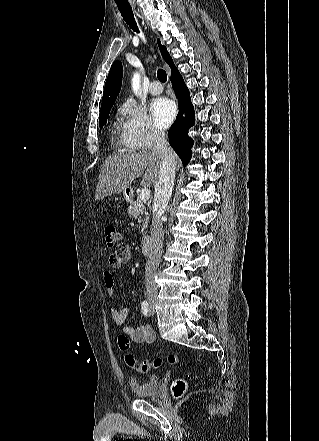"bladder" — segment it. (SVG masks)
Here are the masks:
<instances>
[{"instance_id":"1","label":"bladder","mask_w":319,"mask_h":441,"mask_svg":"<svg viewBox=\"0 0 319 441\" xmlns=\"http://www.w3.org/2000/svg\"><path fill=\"white\" fill-rule=\"evenodd\" d=\"M129 384L138 398H153L159 393V378L156 375H152L142 382L131 379Z\"/></svg>"}]
</instances>
